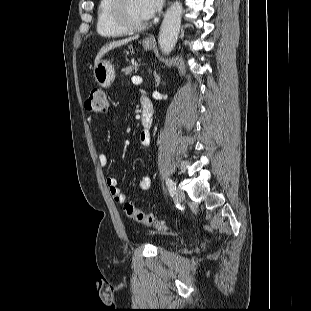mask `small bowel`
<instances>
[{
    "label": "small bowel",
    "instance_id": "c3829d8e",
    "mask_svg": "<svg viewBox=\"0 0 311 311\" xmlns=\"http://www.w3.org/2000/svg\"><path fill=\"white\" fill-rule=\"evenodd\" d=\"M89 123L92 125L91 120H89ZM139 141H140V145L142 148H148L152 143L151 133L148 130L141 131L140 136H139ZM98 161L102 167H105L108 165V157L105 154H100L98 157ZM105 182L109 190V193L114 199V201L120 204L125 203L127 200V196L119 188L117 179L115 177H107ZM139 186L143 190H147L149 188L150 178L148 177V175H144L139 180Z\"/></svg>",
    "mask_w": 311,
    "mask_h": 311
}]
</instances>
